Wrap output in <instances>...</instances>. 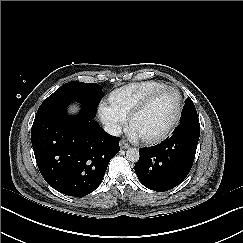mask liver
I'll return each mask as SVG.
<instances>
[{
  "label": "liver",
  "instance_id": "6515ba94",
  "mask_svg": "<svg viewBox=\"0 0 243 243\" xmlns=\"http://www.w3.org/2000/svg\"><path fill=\"white\" fill-rule=\"evenodd\" d=\"M79 111V106L78 105H72L69 109L68 112L71 114L77 113Z\"/></svg>",
  "mask_w": 243,
  "mask_h": 243
}]
</instances>
